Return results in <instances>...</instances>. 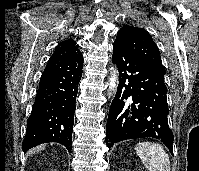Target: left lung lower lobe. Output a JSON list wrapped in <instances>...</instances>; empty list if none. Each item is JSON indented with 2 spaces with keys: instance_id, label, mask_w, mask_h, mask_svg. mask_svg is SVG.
I'll list each match as a JSON object with an SVG mask.
<instances>
[{
  "instance_id": "0a47b994",
  "label": "left lung lower lobe",
  "mask_w": 199,
  "mask_h": 171,
  "mask_svg": "<svg viewBox=\"0 0 199 171\" xmlns=\"http://www.w3.org/2000/svg\"><path fill=\"white\" fill-rule=\"evenodd\" d=\"M112 59L119 70V85L108 114L106 145L153 137L173 153L164 74L118 43L113 44Z\"/></svg>"
}]
</instances>
